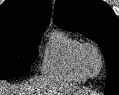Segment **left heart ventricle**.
<instances>
[{"label":"left heart ventricle","mask_w":119,"mask_h":95,"mask_svg":"<svg viewBox=\"0 0 119 95\" xmlns=\"http://www.w3.org/2000/svg\"><path fill=\"white\" fill-rule=\"evenodd\" d=\"M83 63L90 73H96L99 70L100 61L97 54L92 49H86L84 51Z\"/></svg>","instance_id":"1"}]
</instances>
